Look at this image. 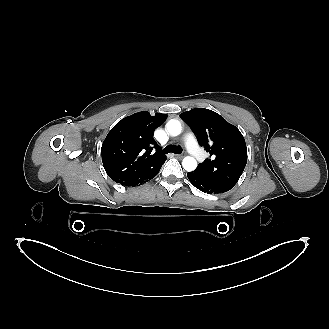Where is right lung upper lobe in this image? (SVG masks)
Returning a JSON list of instances; mask_svg holds the SVG:
<instances>
[{
	"label": "right lung upper lobe",
	"mask_w": 329,
	"mask_h": 329,
	"mask_svg": "<svg viewBox=\"0 0 329 329\" xmlns=\"http://www.w3.org/2000/svg\"><path fill=\"white\" fill-rule=\"evenodd\" d=\"M166 119V114L152 116L142 111L122 119L110 130L101 154L104 169L112 180L127 186L166 160L153 138L155 129Z\"/></svg>",
	"instance_id": "obj_1"
}]
</instances>
